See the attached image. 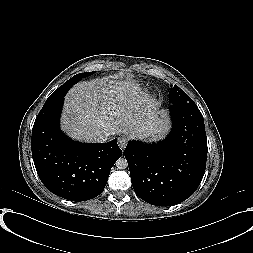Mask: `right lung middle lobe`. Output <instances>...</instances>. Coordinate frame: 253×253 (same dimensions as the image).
I'll use <instances>...</instances> for the list:
<instances>
[{
  "instance_id": "dd1d6c3e",
  "label": "right lung middle lobe",
  "mask_w": 253,
  "mask_h": 253,
  "mask_svg": "<svg viewBox=\"0 0 253 253\" xmlns=\"http://www.w3.org/2000/svg\"><path fill=\"white\" fill-rule=\"evenodd\" d=\"M94 72L80 73L73 76L71 79L66 81L61 87L54 91L50 97L46 100L45 104L57 101L63 93H66L74 84H76L82 78L92 75Z\"/></svg>"
}]
</instances>
